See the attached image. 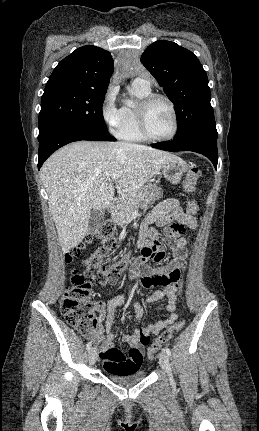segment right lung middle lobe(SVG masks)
I'll return each mask as SVG.
<instances>
[{"instance_id": "right-lung-middle-lobe-1", "label": "right lung middle lobe", "mask_w": 259, "mask_h": 431, "mask_svg": "<svg viewBox=\"0 0 259 431\" xmlns=\"http://www.w3.org/2000/svg\"><path fill=\"white\" fill-rule=\"evenodd\" d=\"M105 94L71 88L44 91L39 113V134L61 123H74L106 132L102 113Z\"/></svg>"}]
</instances>
